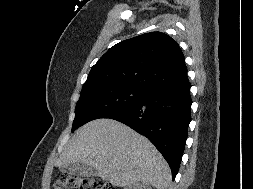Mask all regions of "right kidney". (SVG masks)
<instances>
[{"mask_svg": "<svg viewBox=\"0 0 253 189\" xmlns=\"http://www.w3.org/2000/svg\"><path fill=\"white\" fill-rule=\"evenodd\" d=\"M124 189H151V187L144 183H134Z\"/></svg>", "mask_w": 253, "mask_h": 189, "instance_id": "1", "label": "right kidney"}]
</instances>
